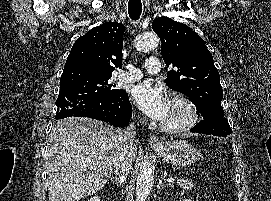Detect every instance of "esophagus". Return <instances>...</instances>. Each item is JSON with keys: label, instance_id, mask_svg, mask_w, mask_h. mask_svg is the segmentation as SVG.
Instances as JSON below:
<instances>
[{"label": "esophagus", "instance_id": "esophagus-1", "mask_svg": "<svg viewBox=\"0 0 271 201\" xmlns=\"http://www.w3.org/2000/svg\"><path fill=\"white\" fill-rule=\"evenodd\" d=\"M149 142L151 146H161L163 143L161 138L157 135L150 136Z\"/></svg>", "mask_w": 271, "mask_h": 201}]
</instances>
